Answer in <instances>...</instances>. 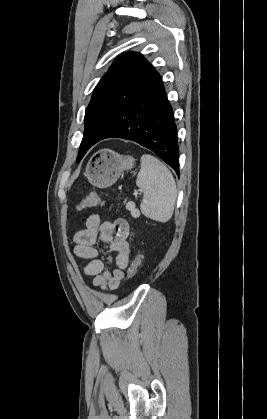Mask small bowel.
<instances>
[{"label": "small bowel", "instance_id": "c3829d8e", "mask_svg": "<svg viewBox=\"0 0 267 419\" xmlns=\"http://www.w3.org/2000/svg\"><path fill=\"white\" fill-rule=\"evenodd\" d=\"M129 233L130 227L125 219L101 222L97 214H92L87 218L85 228L75 234L73 252L77 257L89 260L83 273L93 277V286L109 290L119 286L129 262ZM98 239L108 247L109 266L99 258Z\"/></svg>", "mask_w": 267, "mask_h": 419}]
</instances>
